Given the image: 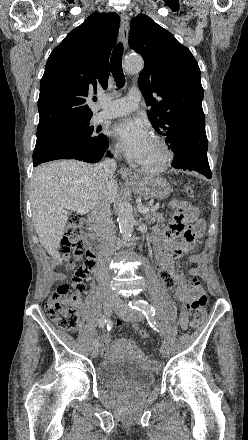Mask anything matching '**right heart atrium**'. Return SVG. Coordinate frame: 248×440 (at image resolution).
I'll use <instances>...</instances> for the list:
<instances>
[{"label": "right heart atrium", "instance_id": "1", "mask_svg": "<svg viewBox=\"0 0 248 440\" xmlns=\"http://www.w3.org/2000/svg\"><path fill=\"white\" fill-rule=\"evenodd\" d=\"M110 152L113 156H117V154H118V150L115 147L111 148Z\"/></svg>", "mask_w": 248, "mask_h": 440}]
</instances>
